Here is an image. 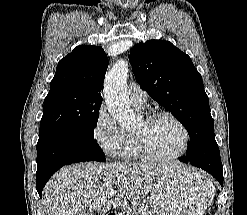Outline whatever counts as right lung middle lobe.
<instances>
[{
    "instance_id": "obj_1",
    "label": "right lung middle lobe",
    "mask_w": 247,
    "mask_h": 215,
    "mask_svg": "<svg viewBox=\"0 0 247 215\" xmlns=\"http://www.w3.org/2000/svg\"><path fill=\"white\" fill-rule=\"evenodd\" d=\"M102 100L75 94L70 89L49 92L44 100L39 134L52 129H68L94 139V128Z\"/></svg>"
}]
</instances>
